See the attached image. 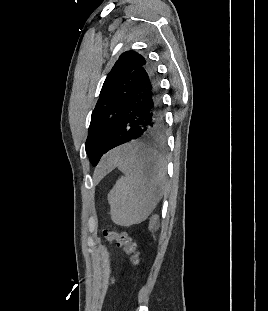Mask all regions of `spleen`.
<instances>
[{
  "label": "spleen",
  "instance_id": "1",
  "mask_svg": "<svg viewBox=\"0 0 268 311\" xmlns=\"http://www.w3.org/2000/svg\"><path fill=\"white\" fill-rule=\"evenodd\" d=\"M111 164L124 174L108 193L112 221L125 227L143 222L165 191V161L146 144H118Z\"/></svg>",
  "mask_w": 268,
  "mask_h": 311
}]
</instances>
